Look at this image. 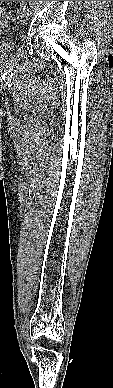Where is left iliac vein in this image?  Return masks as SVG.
I'll return each mask as SVG.
<instances>
[{
	"instance_id": "left-iliac-vein-1",
	"label": "left iliac vein",
	"mask_w": 113,
	"mask_h": 388,
	"mask_svg": "<svg viewBox=\"0 0 113 388\" xmlns=\"http://www.w3.org/2000/svg\"><path fill=\"white\" fill-rule=\"evenodd\" d=\"M28 18L29 16H28L27 10H24V9L19 10L18 19L20 20V22L25 23L28 20Z\"/></svg>"
}]
</instances>
